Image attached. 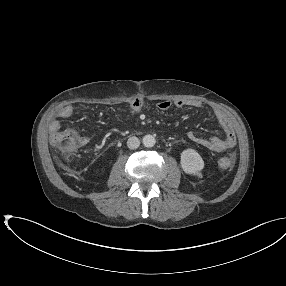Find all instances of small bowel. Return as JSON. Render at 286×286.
Instances as JSON below:
<instances>
[{
	"label": "small bowel",
	"instance_id": "obj_1",
	"mask_svg": "<svg viewBox=\"0 0 286 286\" xmlns=\"http://www.w3.org/2000/svg\"><path fill=\"white\" fill-rule=\"evenodd\" d=\"M145 105V99L142 97H137L135 98L129 106V112L131 115L138 114L144 107ZM192 107V108H200L201 103L196 100H191V101H184V100H176L174 102L169 101V100H163L160 101L157 104V107L161 111H167L172 107H176L178 109H181L183 107ZM74 107L72 105H65L61 107L57 111V116L62 119H66L71 117L74 114ZM214 115L222 128L224 129L225 132V137L223 139L221 138H204L199 135H197L194 131H189L187 133V136L189 140L194 142L195 144L214 151V152H219V153H226L231 151L235 144H236V134L234 130V126L232 123L231 118L229 115L224 112L221 109H215L214 110ZM60 122L57 120H54L50 124V133L51 136L56 132L60 130Z\"/></svg>",
	"mask_w": 286,
	"mask_h": 286
}]
</instances>
